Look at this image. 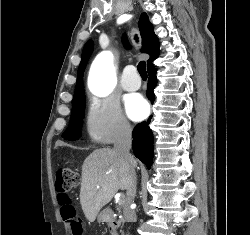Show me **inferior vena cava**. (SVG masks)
Here are the masks:
<instances>
[{"mask_svg": "<svg viewBox=\"0 0 250 235\" xmlns=\"http://www.w3.org/2000/svg\"><path fill=\"white\" fill-rule=\"evenodd\" d=\"M131 144H132V130L128 124L123 123L120 128L114 146V150L120 157V159L127 165V167L130 169L132 173L131 181L127 189V200L124 207V216L127 221L134 222L136 221V213L131 208V204L133 203L136 195L137 179L133 170L134 159L130 154Z\"/></svg>", "mask_w": 250, "mask_h": 235, "instance_id": "inferior-vena-cava-1", "label": "inferior vena cava"}]
</instances>
